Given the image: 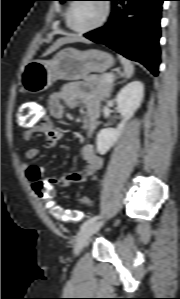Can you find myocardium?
I'll return each instance as SVG.
<instances>
[{"label": "myocardium", "instance_id": "f54148a6", "mask_svg": "<svg viewBox=\"0 0 180 299\" xmlns=\"http://www.w3.org/2000/svg\"><path fill=\"white\" fill-rule=\"evenodd\" d=\"M99 1L101 2L102 7H103V14H102L101 19L91 27L84 28V29H78V28H75L71 23L72 10H73L74 5L77 3L76 0H73V2H71L68 7L67 15H66V23H67V26L69 27V29L77 34H86V33L98 30L101 27H103L110 17L111 4L108 0H99Z\"/></svg>", "mask_w": 180, "mask_h": 299}]
</instances>
